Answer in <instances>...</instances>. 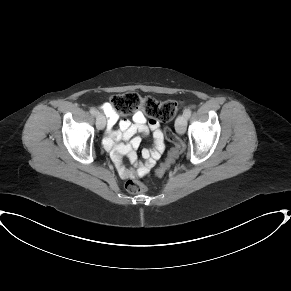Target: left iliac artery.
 Wrapping results in <instances>:
<instances>
[{
  "mask_svg": "<svg viewBox=\"0 0 291 291\" xmlns=\"http://www.w3.org/2000/svg\"><path fill=\"white\" fill-rule=\"evenodd\" d=\"M191 113H192V111H191V109L189 107L184 110V115L187 118H189L191 116Z\"/></svg>",
  "mask_w": 291,
  "mask_h": 291,
  "instance_id": "left-iliac-artery-1",
  "label": "left iliac artery"
}]
</instances>
